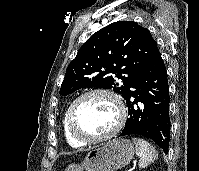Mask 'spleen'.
Here are the masks:
<instances>
[{"instance_id": "obj_1", "label": "spleen", "mask_w": 199, "mask_h": 171, "mask_svg": "<svg viewBox=\"0 0 199 171\" xmlns=\"http://www.w3.org/2000/svg\"><path fill=\"white\" fill-rule=\"evenodd\" d=\"M132 140L136 146V153L140 157L139 168H145L157 159L158 154L149 142L142 138H133Z\"/></svg>"}]
</instances>
